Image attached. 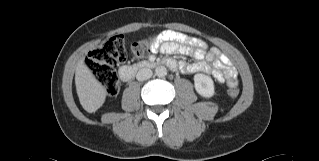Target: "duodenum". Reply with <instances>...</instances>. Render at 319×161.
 <instances>
[{
	"label": "duodenum",
	"mask_w": 319,
	"mask_h": 161,
	"mask_svg": "<svg viewBox=\"0 0 319 161\" xmlns=\"http://www.w3.org/2000/svg\"><path fill=\"white\" fill-rule=\"evenodd\" d=\"M160 66H166L172 71L177 69L176 62L173 59L166 58L163 60L144 61L133 66H122L119 69V75L122 81L128 82L135 76L136 73L142 70L152 69Z\"/></svg>",
	"instance_id": "duodenum-1"
}]
</instances>
